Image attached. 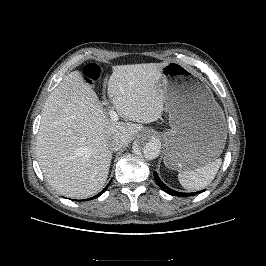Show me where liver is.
Returning <instances> with one entry per match:
<instances>
[{
    "mask_svg": "<svg viewBox=\"0 0 266 266\" xmlns=\"http://www.w3.org/2000/svg\"><path fill=\"white\" fill-rule=\"evenodd\" d=\"M162 63L112 67L107 93L112 108L128 122L112 121L80 71L66 75L49 94L36 138V156L48 184L70 198H87L103 188L112 152L107 142L122 136L125 145L161 118L164 106Z\"/></svg>",
    "mask_w": 266,
    "mask_h": 266,
    "instance_id": "obj_1",
    "label": "liver"
}]
</instances>
